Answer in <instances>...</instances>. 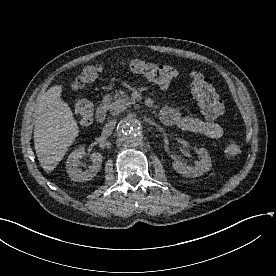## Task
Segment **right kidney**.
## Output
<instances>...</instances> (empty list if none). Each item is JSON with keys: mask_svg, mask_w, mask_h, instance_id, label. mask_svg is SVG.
Instances as JSON below:
<instances>
[{"mask_svg": "<svg viewBox=\"0 0 276 276\" xmlns=\"http://www.w3.org/2000/svg\"><path fill=\"white\" fill-rule=\"evenodd\" d=\"M86 155L83 146L74 150L68 157L66 162V169L71 180L75 182H85L91 180L96 176L98 171L101 169L102 155L98 152L91 154L90 159L92 164L82 171L80 168V160Z\"/></svg>", "mask_w": 276, "mask_h": 276, "instance_id": "1", "label": "right kidney"}]
</instances>
